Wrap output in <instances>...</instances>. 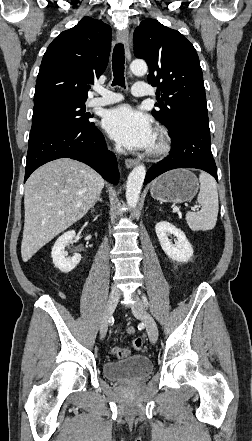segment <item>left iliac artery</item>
<instances>
[{
  "instance_id": "44dca946",
  "label": "left iliac artery",
  "mask_w": 252,
  "mask_h": 441,
  "mask_svg": "<svg viewBox=\"0 0 252 441\" xmlns=\"http://www.w3.org/2000/svg\"><path fill=\"white\" fill-rule=\"evenodd\" d=\"M142 298H143V301H144L145 305L147 306L148 305V301H147L146 297L143 296Z\"/></svg>"
}]
</instances>
